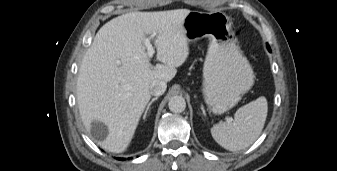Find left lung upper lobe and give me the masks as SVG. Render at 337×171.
<instances>
[{
    "mask_svg": "<svg viewBox=\"0 0 337 171\" xmlns=\"http://www.w3.org/2000/svg\"><path fill=\"white\" fill-rule=\"evenodd\" d=\"M268 50H270V47H269V45H268Z\"/></svg>",
    "mask_w": 337,
    "mask_h": 171,
    "instance_id": "1",
    "label": "left lung upper lobe"
}]
</instances>
